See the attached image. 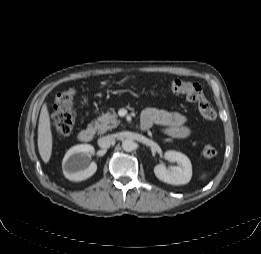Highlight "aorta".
I'll return each instance as SVG.
<instances>
[{
	"label": "aorta",
	"mask_w": 261,
	"mask_h": 254,
	"mask_svg": "<svg viewBox=\"0 0 261 254\" xmlns=\"http://www.w3.org/2000/svg\"><path fill=\"white\" fill-rule=\"evenodd\" d=\"M122 148L126 152H131L136 148V143L132 139H125L122 141Z\"/></svg>",
	"instance_id": "aorta-1"
}]
</instances>
